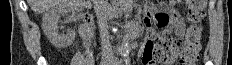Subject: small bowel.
<instances>
[{
    "label": "small bowel",
    "mask_w": 232,
    "mask_h": 65,
    "mask_svg": "<svg viewBox=\"0 0 232 65\" xmlns=\"http://www.w3.org/2000/svg\"><path fill=\"white\" fill-rule=\"evenodd\" d=\"M144 24L147 29L148 40L143 46V64L154 65L155 64V40L160 37H170V33L174 32L178 37H183L185 33L184 24L180 17L174 12L168 13L157 12L155 7L148 6L145 12ZM153 24L162 29L163 32L158 35L153 29ZM159 65H172V62H160Z\"/></svg>",
    "instance_id": "small-bowel-1"
}]
</instances>
